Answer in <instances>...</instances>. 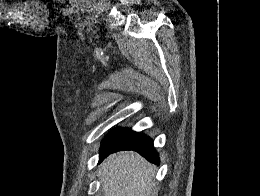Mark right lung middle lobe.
<instances>
[{
  "instance_id": "dd1d6c3e",
  "label": "right lung middle lobe",
  "mask_w": 260,
  "mask_h": 196,
  "mask_svg": "<svg viewBox=\"0 0 260 196\" xmlns=\"http://www.w3.org/2000/svg\"><path fill=\"white\" fill-rule=\"evenodd\" d=\"M137 134V132H133L127 128H119L116 127L112 130L109 135L104 139L101 150H107L113 147H117L123 144L125 141L130 139L132 136Z\"/></svg>"
}]
</instances>
